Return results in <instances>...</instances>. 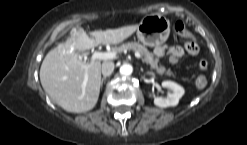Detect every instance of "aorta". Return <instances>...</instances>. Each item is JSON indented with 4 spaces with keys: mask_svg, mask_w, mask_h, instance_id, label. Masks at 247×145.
<instances>
[{
    "mask_svg": "<svg viewBox=\"0 0 247 145\" xmlns=\"http://www.w3.org/2000/svg\"><path fill=\"white\" fill-rule=\"evenodd\" d=\"M133 68L130 64H123L120 67V74L124 76H129L132 74Z\"/></svg>",
    "mask_w": 247,
    "mask_h": 145,
    "instance_id": "aorta-1",
    "label": "aorta"
}]
</instances>
